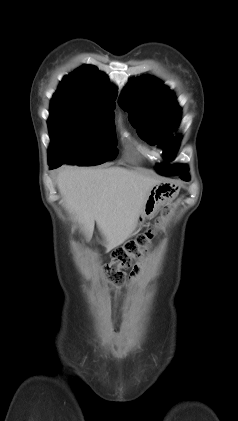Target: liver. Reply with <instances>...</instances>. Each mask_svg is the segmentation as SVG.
<instances>
[{"label": "liver", "mask_w": 238, "mask_h": 421, "mask_svg": "<svg viewBox=\"0 0 238 421\" xmlns=\"http://www.w3.org/2000/svg\"><path fill=\"white\" fill-rule=\"evenodd\" d=\"M56 183L66 210L75 215L88 239L96 221L107 250H111L135 230L149 190L160 181L118 166H65Z\"/></svg>", "instance_id": "liver-1"}]
</instances>
